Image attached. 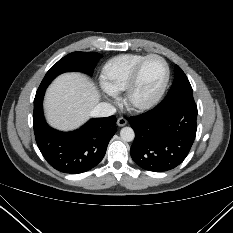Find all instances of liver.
I'll return each mask as SVG.
<instances>
[{"instance_id": "6515ba94", "label": "liver", "mask_w": 233, "mask_h": 233, "mask_svg": "<svg viewBox=\"0 0 233 233\" xmlns=\"http://www.w3.org/2000/svg\"><path fill=\"white\" fill-rule=\"evenodd\" d=\"M100 94L85 75L71 72L58 76L46 91L44 110L50 126L61 131L77 129L90 116Z\"/></svg>"}]
</instances>
